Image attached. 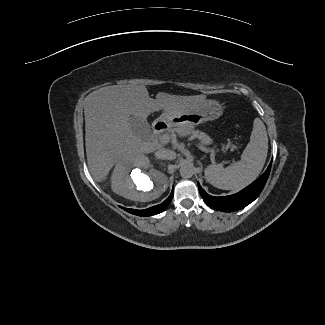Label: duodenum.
<instances>
[{
	"label": "duodenum",
	"mask_w": 325,
	"mask_h": 325,
	"mask_svg": "<svg viewBox=\"0 0 325 325\" xmlns=\"http://www.w3.org/2000/svg\"><path fill=\"white\" fill-rule=\"evenodd\" d=\"M167 125L166 123L159 121L153 124L152 126V133L154 136L160 135L165 129Z\"/></svg>",
	"instance_id": "410a0bca"
}]
</instances>
